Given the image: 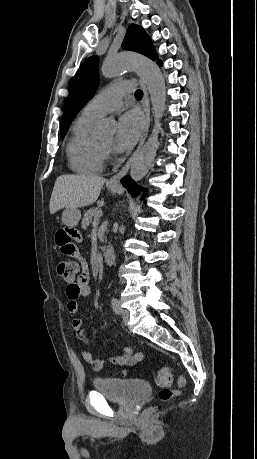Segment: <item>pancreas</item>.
Masks as SVG:
<instances>
[{"instance_id": "pancreas-1", "label": "pancreas", "mask_w": 257, "mask_h": 459, "mask_svg": "<svg viewBox=\"0 0 257 459\" xmlns=\"http://www.w3.org/2000/svg\"><path fill=\"white\" fill-rule=\"evenodd\" d=\"M100 214V209L97 207L90 208L84 214L82 219V228L87 229V227L92 223V220L97 218Z\"/></svg>"}]
</instances>
